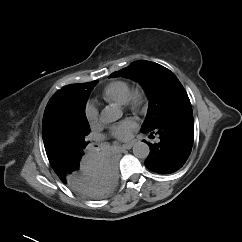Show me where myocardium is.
<instances>
[{"label": "myocardium", "instance_id": "1", "mask_svg": "<svg viewBox=\"0 0 242 242\" xmlns=\"http://www.w3.org/2000/svg\"><path fill=\"white\" fill-rule=\"evenodd\" d=\"M147 101L145 90L141 86L130 88L126 101L123 105L129 107L133 111H140L144 108Z\"/></svg>", "mask_w": 242, "mask_h": 242}]
</instances>
